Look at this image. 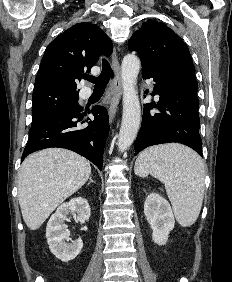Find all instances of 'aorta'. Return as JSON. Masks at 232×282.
<instances>
[{
    "label": "aorta",
    "mask_w": 232,
    "mask_h": 282,
    "mask_svg": "<svg viewBox=\"0 0 232 282\" xmlns=\"http://www.w3.org/2000/svg\"><path fill=\"white\" fill-rule=\"evenodd\" d=\"M139 71V58L134 54H127L121 65L123 115L117 143L121 152L131 146L140 126L141 108L136 90Z\"/></svg>",
    "instance_id": "1"
}]
</instances>
